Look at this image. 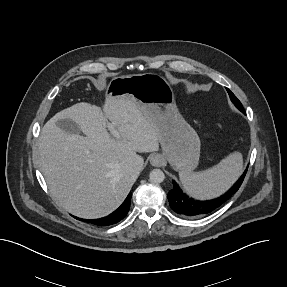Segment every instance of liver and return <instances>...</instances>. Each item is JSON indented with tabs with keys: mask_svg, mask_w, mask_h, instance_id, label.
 Returning a JSON list of instances; mask_svg holds the SVG:
<instances>
[{
	"mask_svg": "<svg viewBox=\"0 0 287 287\" xmlns=\"http://www.w3.org/2000/svg\"><path fill=\"white\" fill-rule=\"evenodd\" d=\"M71 119L85 134L57 126ZM109 120L120 134L107 130ZM159 150V136L131 99L105 98L103 111L80 102L56 113L41 130L38 161L49 190L71 214L95 219L118 208L139 176L132 168L137 153Z\"/></svg>",
	"mask_w": 287,
	"mask_h": 287,
	"instance_id": "6515ba94",
	"label": "liver"
}]
</instances>
